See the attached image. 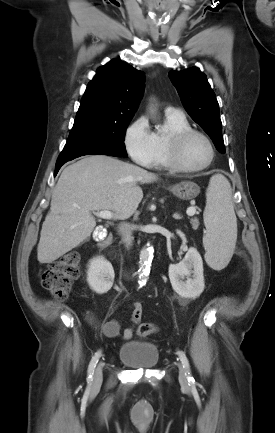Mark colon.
Wrapping results in <instances>:
<instances>
[{
  "label": "colon",
  "mask_w": 275,
  "mask_h": 433,
  "mask_svg": "<svg viewBox=\"0 0 275 433\" xmlns=\"http://www.w3.org/2000/svg\"><path fill=\"white\" fill-rule=\"evenodd\" d=\"M80 273V253L69 251L53 261L42 275V285L56 299L68 298L74 281ZM157 331L155 324L143 322L138 327L140 336H148Z\"/></svg>",
  "instance_id": "5ec220e1"
}]
</instances>
